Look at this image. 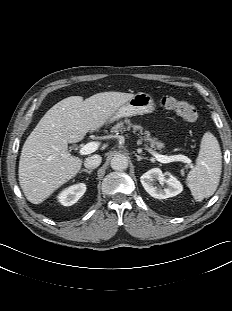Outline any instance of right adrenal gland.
Returning a JSON list of instances; mask_svg holds the SVG:
<instances>
[{
  "label": "right adrenal gland",
  "instance_id": "obj_1",
  "mask_svg": "<svg viewBox=\"0 0 232 311\" xmlns=\"http://www.w3.org/2000/svg\"><path fill=\"white\" fill-rule=\"evenodd\" d=\"M81 172H86V173H88V174H91V173L93 172V170L82 169V170H80L79 173H81Z\"/></svg>",
  "mask_w": 232,
  "mask_h": 311
}]
</instances>
